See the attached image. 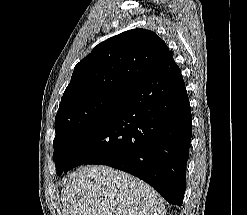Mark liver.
<instances>
[{"label": "liver", "mask_w": 247, "mask_h": 215, "mask_svg": "<svg viewBox=\"0 0 247 215\" xmlns=\"http://www.w3.org/2000/svg\"><path fill=\"white\" fill-rule=\"evenodd\" d=\"M61 215H166L148 184L108 166H84L64 180Z\"/></svg>", "instance_id": "liver-1"}]
</instances>
